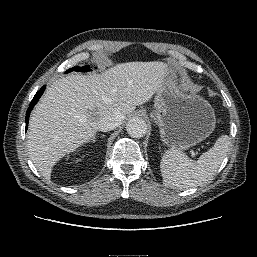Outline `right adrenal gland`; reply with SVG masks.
I'll return each instance as SVG.
<instances>
[{
  "label": "right adrenal gland",
  "instance_id": "2a0ac1e0",
  "mask_svg": "<svg viewBox=\"0 0 257 257\" xmlns=\"http://www.w3.org/2000/svg\"><path fill=\"white\" fill-rule=\"evenodd\" d=\"M104 136V135H102ZM96 141V133L94 134V136L89 140L90 143H95Z\"/></svg>",
  "mask_w": 257,
  "mask_h": 257
}]
</instances>
